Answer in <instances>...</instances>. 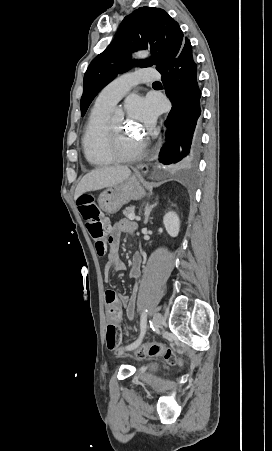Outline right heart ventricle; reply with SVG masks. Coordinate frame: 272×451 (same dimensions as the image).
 <instances>
[{
	"mask_svg": "<svg viewBox=\"0 0 272 451\" xmlns=\"http://www.w3.org/2000/svg\"><path fill=\"white\" fill-rule=\"evenodd\" d=\"M131 100L128 99L127 102ZM115 105V104H113ZM113 105L95 104L87 123L83 144L86 159L93 165H104L111 162L114 155V142H107L104 129L107 113Z\"/></svg>",
	"mask_w": 272,
	"mask_h": 451,
	"instance_id": "obj_1",
	"label": "right heart ventricle"
}]
</instances>
